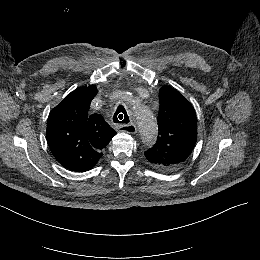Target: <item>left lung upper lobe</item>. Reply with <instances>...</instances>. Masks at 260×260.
<instances>
[{
    "instance_id": "5c2ea615",
    "label": "left lung upper lobe",
    "mask_w": 260,
    "mask_h": 260,
    "mask_svg": "<svg viewBox=\"0 0 260 260\" xmlns=\"http://www.w3.org/2000/svg\"><path fill=\"white\" fill-rule=\"evenodd\" d=\"M158 138L145 152L148 163L158 169L175 170L185 163L197 139V119L192 105L175 89H160Z\"/></svg>"
}]
</instances>
